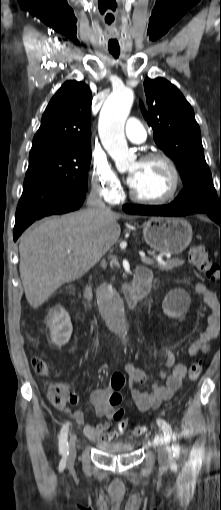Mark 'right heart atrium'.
<instances>
[{"instance_id":"d8ad5b80","label":"right heart atrium","mask_w":221,"mask_h":510,"mask_svg":"<svg viewBox=\"0 0 221 510\" xmlns=\"http://www.w3.org/2000/svg\"><path fill=\"white\" fill-rule=\"evenodd\" d=\"M92 188L107 202H114L121 193V183L106 156L95 153L91 162Z\"/></svg>"}]
</instances>
